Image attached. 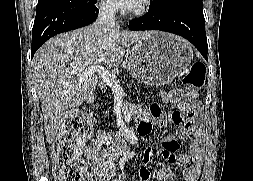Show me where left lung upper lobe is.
Wrapping results in <instances>:
<instances>
[{
	"label": "left lung upper lobe",
	"instance_id": "obj_1",
	"mask_svg": "<svg viewBox=\"0 0 253 181\" xmlns=\"http://www.w3.org/2000/svg\"><path fill=\"white\" fill-rule=\"evenodd\" d=\"M166 1H172V0H153L149 6V9H156ZM198 1H202V0H198Z\"/></svg>",
	"mask_w": 253,
	"mask_h": 181
}]
</instances>
